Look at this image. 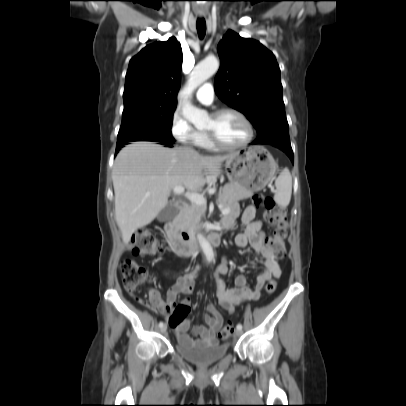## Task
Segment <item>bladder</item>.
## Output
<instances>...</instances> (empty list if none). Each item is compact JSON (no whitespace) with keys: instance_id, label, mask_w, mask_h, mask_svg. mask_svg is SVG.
Here are the masks:
<instances>
[{"instance_id":"bladder-1","label":"bladder","mask_w":406,"mask_h":406,"mask_svg":"<svg viewBox=\"0 0 406 406\" xmlns=\"http://www.w3.org/2000/svg\"><path fill=\"white\" fill-rule=\"evenodd\" d=\"M177 353L184 359L198 364L208 365L224 358L229 351L227 344H216L212 346H187L180 342L175 345Z\"/></svg>"}]
</instances>
